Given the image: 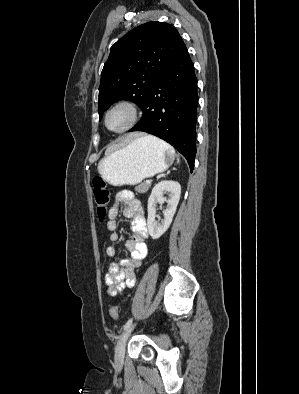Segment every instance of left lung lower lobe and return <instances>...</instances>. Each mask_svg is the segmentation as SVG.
<instances>
[{
	"instance_id": "0a47b994",
	"label": "left lung lower lobe",
	"mask_w": 299,
	"mask_h": 394,
	"mask_svg": "<svg viewBox=\"0 0 299 394\" xmlns=\"http://www.w3.org/2000/svg\"><path fill=\"white\" fill-rule=\"evenodd\" d=\"M197 78L187 48L160 74L141 107V120L129 131H144L175 147L191 172L196 155Z\"/></svg>"
}]
</instances>
